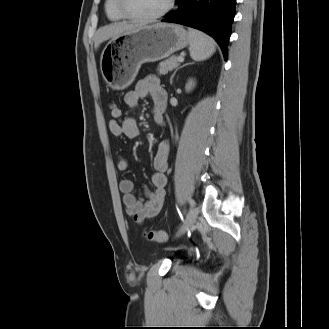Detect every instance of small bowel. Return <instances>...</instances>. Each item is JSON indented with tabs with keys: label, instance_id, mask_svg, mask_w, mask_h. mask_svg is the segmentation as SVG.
<instances>
[{
	"label": "small bowel",
	"instance_id": "small-bowel-1",
	"mask_svg": "<svg viewBox=\"0 0 329 329\" xmlns=\"http://www.w3.org/2000/svg\"><path fill=\"white\" fill-rule=\"evenodd\" d=\"M145 98H150L152 102L154 121L159 125L164 124L167 93L154 75L143 79L134 90L127 92L124 96V102L129 108L133 109L137 107L140 100ZM108 127L110 132L117 137L125 136L130 139H136L140 136V128L132 117L111 119ZM169 150V142L163 141L159 144L154 157L155 171L151 175L154 191L146 190L144 199L134 193V184L130 179L125 178L120 181L119 187L123 194L126 212L137 223H143L145 220L156 216L163 206L167 183L165 172L168 168ZM116 168L121 172L127 171L129 168L128 159L120 156L116 162Z\"/></svg>",
	"mask_w": 329,
	"mask_h": 329
}]
</instances>
